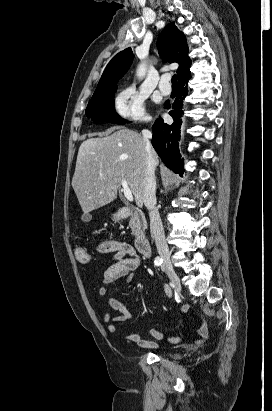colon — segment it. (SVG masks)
<instances>
[{"label":"colon","instance_id":"colon-1","mask_svg":"<svg viewBox=\"0 0 272 411\" xmlns=\"http://www.w3.org/2000/svg\"><path fill=\"white\" fill-rule=\"evenodd\" d=\"M75 258L81 264H89L91 261L89 253L82 247L75 249Z\"/></svg>","mask_w":272,"mask_h":411}]
</instances>
